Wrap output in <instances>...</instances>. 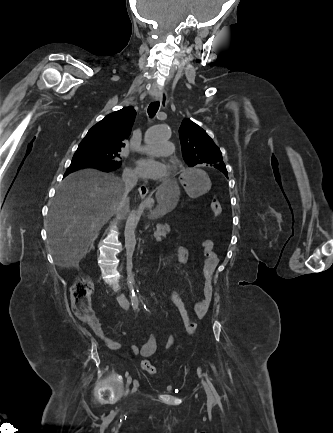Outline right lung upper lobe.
I'll use <instances>...</instances> for the list:
<instances>
[{
  "label": "right lung upper lobe",
  "mask_w": 333,
  "mask_h": 433,
  "mask_svg": "<svg viewBox=\"0 0 333 433\" xmlns=\"http://www.w3.org/2000/svg\"><path fill=\"white\" fill-rule=\"evenodd\" d=\"M136 116L134 107H124L110 113L94 125L83 139L101 148L121 149L128 138Z\"/></svg>",
  "instance_id": "1"
}]
</instances>
